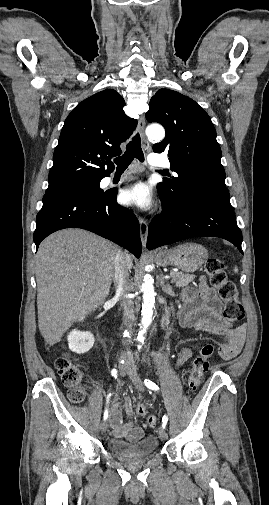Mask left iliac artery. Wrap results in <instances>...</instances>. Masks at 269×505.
<instances>
[{"label":"left iliac artery","instance_id":"left-iliac-artery-1","mask_svg":"<svg viewBox=\"0 0 269 505\" xmlns=\"http://www.w3.org/2000/svg\"><path fill=\"white\" fill-rule=\"evenodd\" d=\"M144 384L147 388L151 389V390H154V391H158L159 390V387L158 385H156L154 382L150 381V380H147L145 379L144 380ZM167 422H168V416L167 415H164L163 418H162V427L165 429L166 425H167Z\"/></svg>","mask_w":269,"mask_h":505}]
</instances>
